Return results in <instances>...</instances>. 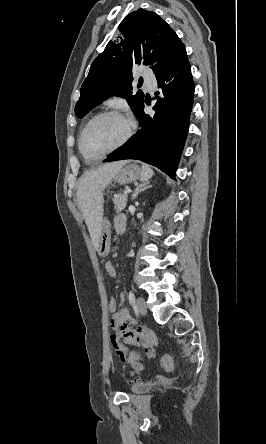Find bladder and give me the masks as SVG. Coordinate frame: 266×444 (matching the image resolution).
<instances>
[{
	"label": "bladder",
	"mask_w": 266,
	"mask_h": 444,
	"mask_svg": "<svg viewBox=\"0 0 266 444\" xmlns=\"http://www.w3.org/2000/svg\"><path fill=\"white\" fill-rule=\"evenodd\" d=\"M153 389V384L151 383H136L131 387V392L133 394H145Z\"/></svg>",
	"instance_id": "obj_1"
}]
</instances>
